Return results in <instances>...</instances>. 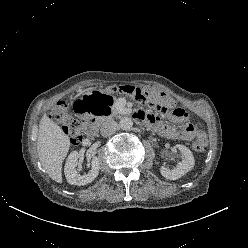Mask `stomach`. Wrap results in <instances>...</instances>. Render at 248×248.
Listing matches in <instances>:
<instances>
[{"label":"stomach","mask_w":248,"mask_h":248,"mask_svg":"<svg viewBox=\"0 0 248 248\" xmlns=\"http://www.w3.org/2000/svg\"><path fill=\"white\" fill-rule=\"evenodd\" d=\"M73 109L79 117L85 118L93 115L104 120L115 111L116 102L105 91L90 90L75 101Z\"/></svg>","instance_id":"0dacf381"}]
</instances>
